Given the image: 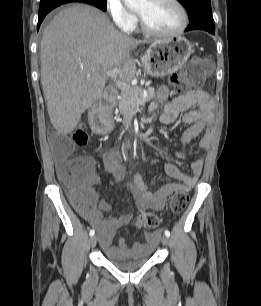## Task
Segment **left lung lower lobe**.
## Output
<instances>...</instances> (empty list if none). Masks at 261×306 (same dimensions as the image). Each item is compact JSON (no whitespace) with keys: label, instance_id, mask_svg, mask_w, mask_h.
Masks as SVG:
<instances>
[{"label":"left lung lower lobe","instance_id":"obj_1","mask_svg":"<svg viewBox=\"0 0 261 306\" xmlns=\"http://www.w3.org/2000/svg\"><path fill=\"white\" fill-rule=\"evenodd\" d=\"M196 29L205 30L213 35L215 34V25L208 24L205 22L190 23L188 27L185 29V31L196 30Z\"/></svg>","mask_w":261,"mask_h":306}]
</instances>
